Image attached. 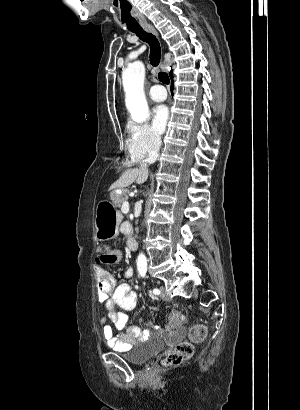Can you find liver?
Masks as SVG:
<instances>
[{"instance_id": "1", "label": "liver", "mask_w": 300, "mask_h": 410, "mask_svg": "<svg viewBox=\"0 0 300 410\" xmlns=\"http://www.w3.org/2000/svg\"><path fill=\"white\" fill-rule=\"evenodd\" d=\"M148 179V170L141 168H130L125 170L120 178L111 186L114 188L128 187L132 183L143 184Z\"/></svg>"}]
</instances>
